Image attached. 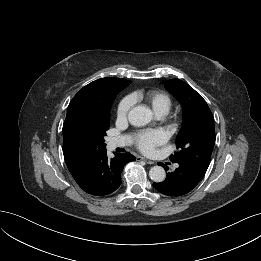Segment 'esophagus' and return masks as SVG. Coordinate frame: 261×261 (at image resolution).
<instances>
[{"instance_id": "esophagus-1", "label": "esophagus", "mask_w": 261, "mask_h": 261, "mask_svg": "<svg viewBox=\"0 0 261 261\" xmlns=\"http://www.w3.org/2000/svg\"><path fill=\"white\" fill-rule=\"evenodd\" d=\"M138 160L145 161L147 164H154L152 160L146 159L144 157H137Z\"/></svg>"}]
</instances>
